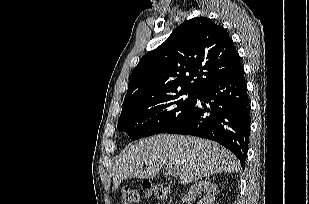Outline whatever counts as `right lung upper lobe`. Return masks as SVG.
<instances>
[{"instance_id": "cb5924a9", "label": "right lung upper lobe", "mask_w": 309, "mask_h": 204, "mask_svg": "<svg viewBox=\"0 0 309 204\" xmlns=\"http://www.w3.org/2000/svg\"><path fill=\"white\" fill-rule=\"evenodd\" d=\"M240 67L226 30L206 17L193 18L142 57L130 76L124 103L181 91L198 94Z\"/></svg>"}]
</instances>
